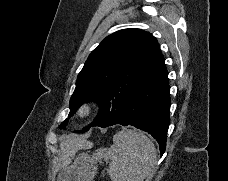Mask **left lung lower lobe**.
<instances>
[{"label":"left lung lower lobe","mask_w":228,"mask_h":181,"mask_svg":"<svg viewBox=\"0 0 228 181\" xmlns=\"http://www.w3.org/2000/svg\"><path fill=\"white\" fill-rule=\"evenodd\" d=\"M169 113L170 86L162 57L140 79L122 118L113 125H131L148 132L157 140L162 156L166 149Z\"/></svg>","instance_id":"obj_1"}]
</instances>
